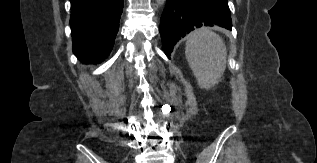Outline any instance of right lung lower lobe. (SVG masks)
Instances as JSON below:
<instances>
[{
    "label": "right lung lower lobe",
    "mask_w": 317,
    "mask_h": 163,
    "mask_svg": "<svg viewBox=\"0 0 317 163\" xmlns=\"http://www.w3.org/2000/svg\"><path fill=\"white\" fill-rule=\"evenodd\" d=\"M73 52L84 63L104 60L114 45L123 0H70Z\"/></svg>",
    "instance_id": "obj_1"
}]
</instances>
